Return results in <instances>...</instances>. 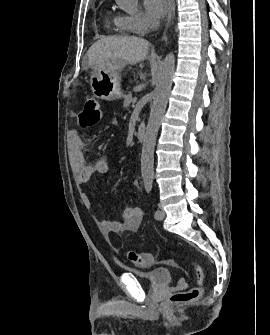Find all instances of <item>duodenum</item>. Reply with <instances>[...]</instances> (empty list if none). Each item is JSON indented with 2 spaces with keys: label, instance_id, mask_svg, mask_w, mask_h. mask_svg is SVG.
<instances>
[{
  "label": "duodenum",
  "instance_id": "duodenum-1",
  "mask_svg": "<svg viewBox=\"0 0 270 335\" xmlns=\"http://www.w3.org/2000/svg\"><path fill=\"white\" fill-rule=\"evenodd\" d=\"M145 133H146V129H145V125L140 124L136 130V138L138 141L142 142L145 138Z\"/></svg>",
  "mask_w": 270,
  "mask_h": 335
}]
</instances>
